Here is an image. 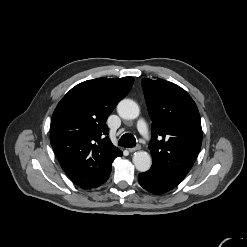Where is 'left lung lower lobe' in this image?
Instances as JSON below:
<instances>
[{
    "instance_id": "1",
    "label": "left lung lower lobe",
    "mask_w": 247,
    "mask_h": 247,
    "mask_svg": "<svg viewBox=\"0 0 247 247\" xmlns=\"http://www.w3.org/2000/svg\"><path fill=\"white\" fill-rule=\"evenodd\" d=\"M138 180L144 189L154 194L165 193L180 183L169 174L153 167L147 172L139 174Z\"/></svg>"
}]
</instances>
